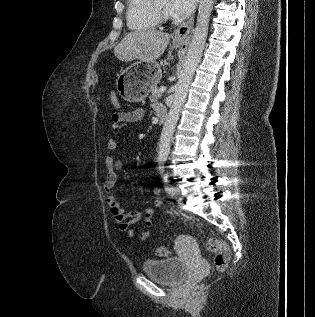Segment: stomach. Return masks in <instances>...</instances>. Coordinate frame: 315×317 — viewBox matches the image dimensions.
Segmentation results:
<instances>
[{
  "label": "stomach",
  "instance_id": "1",
  "mask_svg": "<svg viewBox=\"0 0 315 317\" xmlns=\"http://www.w3.org/2000/svg\"><path fill=\"white\" fill-rule=\"evenodd\" d=\"M181 45V42L173 41V48ZM161 76V67L157 62L137 61L118 74L116 88L125 101L140 102L159 83Z\"/></svg>",
  "mask_w": 315,
  "mask_h": 317
}]
</instances>
